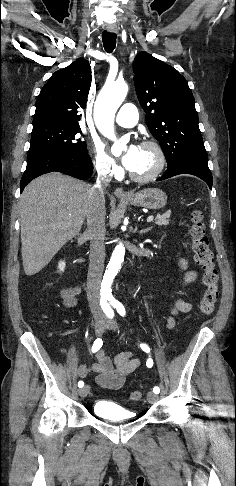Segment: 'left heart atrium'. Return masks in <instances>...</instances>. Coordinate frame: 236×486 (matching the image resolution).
<instances>
[{
  "instance_id": "39dd6f15",
  "label": "left heart atrium",
  "mask_w": 236,
  "mask_h": 486,
  "mask_svg": "<svg viewBox=\"0 0 236 486\" xmlns=\"http://www.w3.org/2000/svg\"><path fill=\"white\" fill-rule=\"evenodd\" d=\"M139 148V146L132 144L125 151L122 157V163L128 170L134 167L139 154Z\"/></svg>"
}]
</instances>
